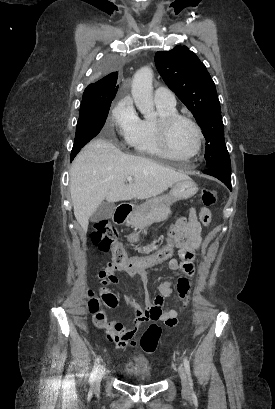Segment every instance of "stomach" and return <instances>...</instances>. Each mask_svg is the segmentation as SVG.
<instances>
[{"label":"stomach","instance_id":"1","mask_svg":"<svg viewBox=\"0 0 275 409\" xmlns=\"http://www.w3.org/2000/svg\"><path fill=\"white\" fill-rule=\"evenodd\" d=\"M198 190V186L192 178H182V180H177L173 186H171V190L169 194H163V196H155V198H151L148 202H145L143 207H139L137 211H145V213H149L152 207L155 205H163V202H167V205H172V202L175 200H180V198H191L194 196Z\"/></svg>","mask_w":275,"mask_h":409}]
</instances>
